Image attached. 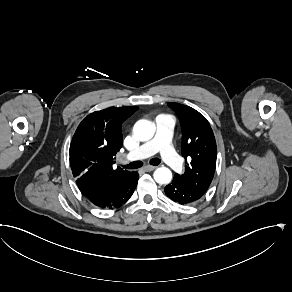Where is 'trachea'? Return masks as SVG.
Returning a JSON list of instances; mask_svg holds the SVG:
<instances>
[{
    "mask_svg": "<svg viewBox=\"0 0 292 292\" xmlns=\"http://www.w3.org/2000/svg\"><path fill=\"white\" fill-rule=\"evenodd\" d=\"M160 162H161V160L159 158H152L149 163L151 165L157 166L160 164ZM121 166L123 168H127V169H137V168H140L143 166V162L142 161H134V162L129 163L128 165H121Z\"/></svg>",
    "mask_w": 292,
    "mask_h": 292,
    "instance_id": "trachea-1",
    "label": "trachea"
}]
</instances>
